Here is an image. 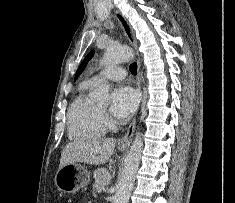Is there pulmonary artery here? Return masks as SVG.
Here are the masks:
<instances>
[{
  "instance_id": "obj_1",
  "label": "pulmonary artery",
  "mask_w": 235,
  "mask_h": 203,
  "mask_svg": "<svg viewBox=\"0 0 235 203\" xmlns=\"http://www.w3.org/2000/svg\"><path fill=\"white\" fill-rule=\"evenodd\" d=\"M126 74V70L122 67H110L92 76V78L90 79V83L98 84L103 80H122L125 78Z\"/></svg>"
}]
</instances>
